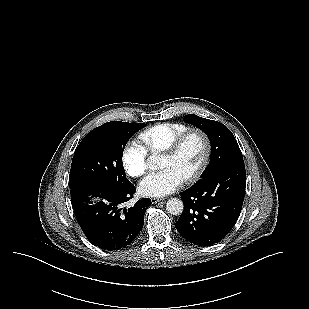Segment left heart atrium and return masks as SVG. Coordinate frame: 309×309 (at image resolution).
Instances as JSON below:
<instances>
[{"label": "left heart atrium", "mask_w": 309, "mask_h": 309, "mask_svg": "<svg viewBox=\"0 0 309 309\" xmlns=\"http://www.w3.org/2000/svg\"><path fill=\"white\" fill-rule=\"evenodd\" d=\"M183 183V179L172 169H163L146 176L139 184V193L149 197H163L173 193Z\"/></svg>", "instance_id": "39dd6f15"}]
</instances>
